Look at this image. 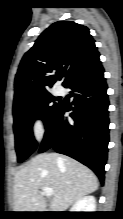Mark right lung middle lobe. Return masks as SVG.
<instances>
[{"label": "right lung middle lobe", "mask_w": 123, "mask_h": 219, "mask_svg": "<svg viewBox=\"0 0 123 219\" xmlns=\"http://www.w3.org/2000/svg\"><path fill=\"white\" fill-rule=\"evenodd\" d=\"M48 91L13 105L15 148L18 162L24 161L37 147L32 126L42 119L47 128L60 106Z\"/></svg>", "instance_id": "1"}]
</instances>
